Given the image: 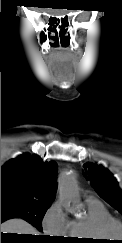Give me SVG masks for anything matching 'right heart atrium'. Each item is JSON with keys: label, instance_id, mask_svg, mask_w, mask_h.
<instances>
[{"label": "right heart atrium", "instance_id": "right-heart-atrium-1", "mask_svg": "<svg viewBox=\"0 0 122 243\" xmlns=\"http://www.w3.org/2000/svg\"><path fill=\"white\" fill-rule=\"evenodd\" d=\"M69 218L66 215L61 201L54 202L45 213L42 220L44 232L56 237L66 236L69 229Z\"/></svg>", "mask_w": 122, "mask_h": 243}]
</instances>
